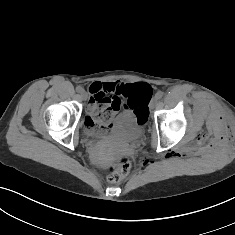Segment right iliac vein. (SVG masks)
Here are the masks:
<instances>
[{"label":"right iliac vein","mask_w":235,"mask_h":235,"mask_svg":"<svg viewBox=\"0 0 235 235\" xmlns=\"http://www.w3.org/2000/svg\"><path fill=\"white\" fill-rule=\"evenodd\" d=\"M81 97H82L83 100H87V98H88L87 92L86 91H82L81 92Z\"/></svg>","instance_id":"obj_1"}]
</instances>
